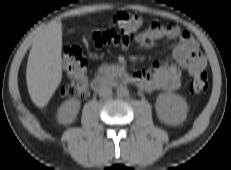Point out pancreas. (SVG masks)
<instances>
[{"label": "pancreas", "instance_id": "pancreas-1", "mask_svg": "<svg viewBox=\"0 0 231 170\" xmlns=\"http://www.w3.org/2000/svg\"><path fill=\"white\" fill-rule=\"evenodd\" d=\"M113 66L103 65L99 68L98 72L101 75L108 76L113 71Z\"/></svg>", "mask_w": 231, "mask_h": 170}]
</instances>
